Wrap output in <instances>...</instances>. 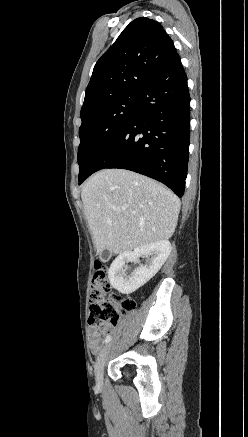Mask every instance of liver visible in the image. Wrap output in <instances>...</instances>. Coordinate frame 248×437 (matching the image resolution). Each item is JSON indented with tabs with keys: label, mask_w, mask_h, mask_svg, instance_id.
Masks as SVG:
<instances>
[{
	"label": "liver",
	"mask_w": 248,
	"mask_h": 437,
	"mask_svg": "<svg viewBox=\"0 0 248 437\" xmlns=\"http://www.w3.org/2000/svg\"><path fill=\"white\" fill-rule=\"evenodd\" d=\"M81 198L100 254L168 240L180 211L179 198L165 186L121 169L95 173L83 185Z\"/></svg>",
	"instance_id": "1"
}]
</instances>
